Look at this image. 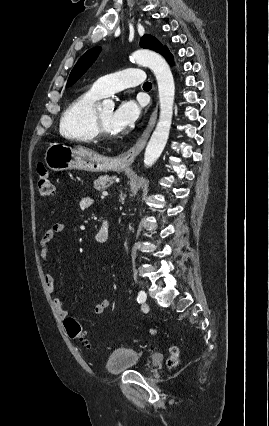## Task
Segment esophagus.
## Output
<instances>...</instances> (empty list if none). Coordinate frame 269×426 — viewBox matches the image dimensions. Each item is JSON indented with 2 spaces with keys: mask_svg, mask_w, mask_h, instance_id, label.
Listing matches in <instances>:
<instances>
[{
  "mask_svg": "<svg viewBox=\"0 0 269 426\" xmlns=\"http://www.w3.org/2000/svg\"><path fill=\"white\" fill-rule=\"evenodd\" d=\"M157 113H158V104L156 105L150 121L142 135V137L140 138V140L136 143V145H134L132 148H130L128 151L121 153L118 156V160L120 163L124 164V165H131L135 158L139 155V153L143 150V148L145 147L147 140L155 126L156 123V119H157Z\"/></svg>",
  "mask_w": 269,
  "mask_h": 426,
  "instance_id": "obj_1",
  "label": "esophagus"
}]
</instances>
